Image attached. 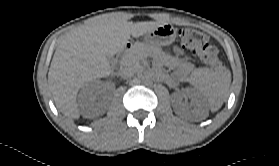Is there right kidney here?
Segmentation results:
<instances>
[{"instance_id":"ca27d5eb","label":"right kidney","mask_w":279,"mask_h":166,"mask_svg":"<svg viewBox=\"0 0 279 166\" xmlns=\"http://www.w3.org/2000/svg\"><path fill=\"white\" fill-rule=\"evenodd\" d=\"M104 87L103 83L100 81H94L90 83L86 88L83 90L81 94V105L84 108H88L92 106L97 99V92L99 89Z\"/></svg>"}]
</instances>
